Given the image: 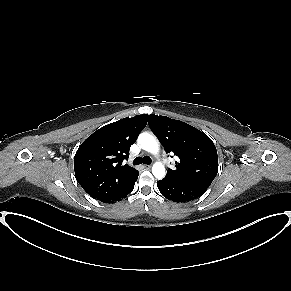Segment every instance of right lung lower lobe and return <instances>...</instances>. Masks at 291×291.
I'll return each instance as SVG.
<instances>
[{"mask_svg":"<svg viewBox=\"0 0 291 291\" xmlns=\"http://www.w3.org/2000/svg\"><path fill=\"white\" fill-rule=\"evenodd\" d=\"M139 175V174H138ZM138 175L136 176V178L134 180H132L121 192H119L118 194L102 201L104 203H114L116 201H120L121 199H123L124 197H126L130 192L133 191L134 189V183L138 178Z\"/></svg>","mask_w":291,"mask_h":291,"instance_id":"right-lung-lower-lobe-1","label":"right lung lower lobe"}]
</instances>
